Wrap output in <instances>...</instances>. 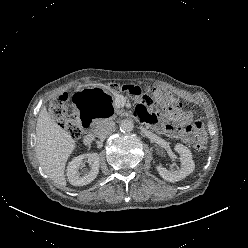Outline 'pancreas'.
<instances>
[{"label": "pancreas", "mask_w": 248, "mask_h": 248, "mask_svg": "<svg viewBox=\"0 0 248 248\" xmlns=\"http://www.w3.org/2000/svg\"><path fill=\"white\" fill-rule=\"evenodd\" d=\"M116 112H117L118 114H121L122 111H121V110H117Z\"/></svg>", "instance_id": "1"}]
</instances>
